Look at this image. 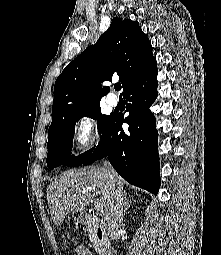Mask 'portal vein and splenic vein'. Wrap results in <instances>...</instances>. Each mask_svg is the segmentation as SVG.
Here are the masks:
<instances>
[{
	"label": "portal vein and splenic vein",
	"mask_w": 221,
	"mask_h": 255,
	"mask_svg": "<svg viewBox=\"0 0 221 255\" xmlns=\"http://www.w3.org/2000/svg\"><path fill=\"white\" fill-rule=\"evenodd\" d=\"M103 207H102V204L100 203V202H97L96 204H95V210H100V209H102Z\"/></svg>",
	"instance_id": "portal-vein-and-splenic-vein-1"
}]
</instances>
